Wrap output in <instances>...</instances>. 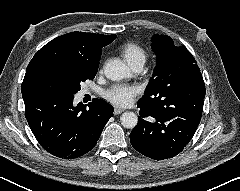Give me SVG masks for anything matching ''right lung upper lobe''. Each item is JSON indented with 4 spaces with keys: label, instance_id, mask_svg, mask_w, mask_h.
<instances>
[{
    "label": "right lung upper lobe",
    "instance_id": "obj_1",
    "mask_svg": "<svg viewBox=\"0 0 240 191\" xmlns=\"http://www.w3.org/2000/svg\"><path fill=\"white\" fill-rule=\"evenodd\" d=\"M115 38L116 35L72 32L53 39L30 61L21 86L22 94L29 92L34 76L47 66L98 70L101 48Z\"/></svg>",
    "mask_w": 240,
    "mask_h": 191
}]
</instances>
